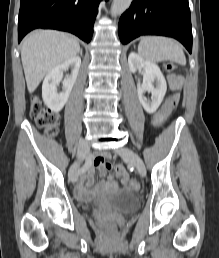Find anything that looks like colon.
<instances>
[{
  "label": "colon",
  "mask_w": 219,
  "mask_h": 258,
  "mask_svg": "<svg viewBox=\"0 0 219 258\" xmlns=\"http://www.w3.org/2000/svg\"><path fill=\"white\" fill-rule=\"evenodd\" d=\"M165 69L172 72L176 69V65L172 62L165 64ZM173 100L171 97L161 106V108L155 113L152 125L156 130H160L167 118L168 113L173 107ZM31 116L37 123V125L43 128L48 134L55 135L60 126V118L57 114L53 113L47 108L43 100L40 97H33L30 104ZM129 186L133 191H139L140 184L137 180L132 179L129 182ZM109 228L113 231L115 228L113 224H110Z\"/></svg>",
  "instance_id": "colon-1"
}]
</instances>
